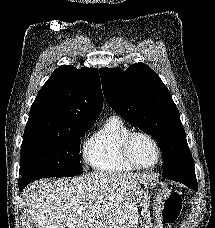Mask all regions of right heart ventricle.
I'll return each mask as SVG.
<instances>
[{
  "label": "right heart ventricle",
  "instance_id": "1",
  "mask_svg": "<svg viewBox=\"0 0 215 228\" xmlns=\"http://www.w3.org/2000/svg\"><path fill=\"white\" fill-rule=\"evenodd\" d=\"M133 131L118 115L105 119L85 141L83 157L90 169L103 174H123L132 171L122 159L120 144Z\"/></svg>",
  "mask_w": 215,
  "mask_h": 228
}]
</instances>
